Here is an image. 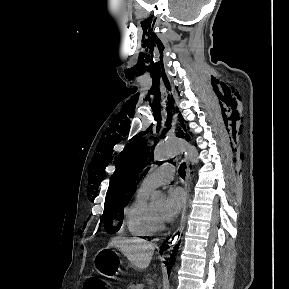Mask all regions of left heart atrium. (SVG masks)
I'll return each mask as SVG.
<instances>
[{
  "mask_svg": "<svg viewBox=\"0 0 289 289\" xmlns=\"http://www.w3.org/2000/svg\"><path fill=\"white\" fill-rule=\"evenodd\" d=\"M185 203V193L181 188H172L168 191L164 203L163 220L172 221L181 211Z\"/></svg>",
  "mask_w": 289,
  "mask_h": 289,
  "instance_id": "left-heart-atrium-1",
  "label": "left heart atrium"
}]
</instances>
